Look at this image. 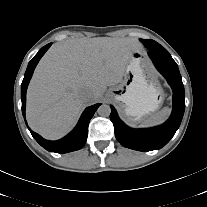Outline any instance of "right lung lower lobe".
<instances>
[{
    "instance_id": "obj_1",
    "label": "right lung lower lobe",
    "mask_w": 207,
    "mask_h": 207,
    "mask_svg": "<svg viewBox=\"0 0 207 207\" xmlns=\"http://www.w3.org/2000/svg\"><path fill=\"white\" fill-rule=\"evenodd\" d=\"M51 46V43L42 47L39 52L33 57V59L29 62L28 67L26 69L23 82L21 84V100H22V114L25 118V106H26V90L29 84V81L32 77L33 71L39 62L40 58L44 55V53ZM100 104H95L85 109L80 120L74 130L69 133L64 138L58 141H48L43 139L40 135L30 130L33 138L46 150L55 153H67L71 151H76L81 149L87 140L88 135V124L90 119L93 117L95 111L98 109ZM26 122V121H25ZM27 125V122H26Z\"/></svg>"
}]
</instances>
